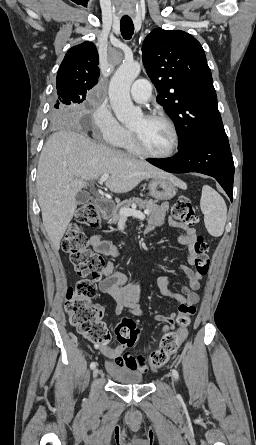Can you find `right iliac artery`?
Segmentation results:
<instances>
[{"instance_id": "obj_1", "label": "right iliac artery", "mask_w": 256, "mask_h": 445, "mask_svg": "<svg viewBox=\"0 0 256 445\" xmlns=\"http://www.w3.org/2000/svg\"><path fill=\"white\" fill-rule=\"evenodd\" d=\"M96 367V363L95 362H92L91 364H90V368L91 369H94Z\"/></svg>"}]
</instances>
